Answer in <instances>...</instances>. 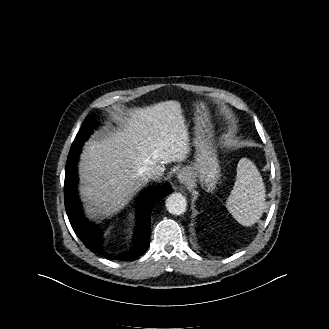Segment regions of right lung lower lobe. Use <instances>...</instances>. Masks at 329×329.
I'll list each match as a JSON object with an SVG mask.
<instances>
[{
    "label": "right lung lower lobe",
    "instance_id": "1",
    "mask_svg": "<svg viewBox=\"0 0 329 329\" xmlns=\"http://www.w3.org/2000/svg\"><path fill=\"white\" fill-rule=\"evenodd\" d=\"M80 149L76 151L72 157L67 158L65 170L64 201L70 224L79 239L92 252L103 254L105 257L113 260H134L148 249L150 243L151 209L159 200L171 193L172 188L166 185L154 187L146 191L139 200L137 206L138 220L132 248L122 255L111 256L105 254L102 250L101 231L96 225L88 222L84 218L80 200L78 199L76 188L78 181L76 163Z\"/></svg>",
    "mask_w": 329,
    "mask_h": 329
}]
</instances>
